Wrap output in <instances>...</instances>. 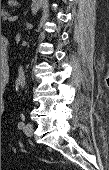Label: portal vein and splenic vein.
<instances>
[{
    "label": "portal vein and splenic vein",
    "instance_id": "obj_1",
    "mask_svg": "<svg viewBox=\"0 0 109 170\" xmlns=\"http://www.w3.org/2000/svg\"><path fill=\"white\" fill-rule=\"evenodd\" d=\"M16 19H17V16H14V17H8V16H6V17L4 18V20H8V21H10V22L15 21Z\"/></svg>",
    "mask_w": 109,
    "mask_h": 170
}]
</instances>
